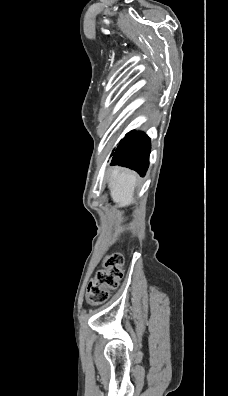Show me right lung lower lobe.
<instances>
[{
	"label": "right lung lower lobe",
	"instance_id": "right-lung-lower-lobe-1",
	"mask_svg": "<svg viewBox=\"0 0 228 396\" xmlns=\"http://www.w3.org/2000/svg\"><path fill=\"white\" fill-rule=\"evenodd\" d=\"M150 139L142 132L131 131L112 153L111 165H120L144 176L149 166Z\"/></svg>",
	"mask_w": 228,
	"mask_h": 396
}]
</instances>
